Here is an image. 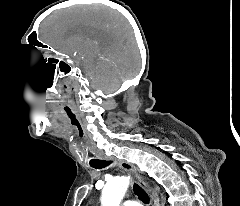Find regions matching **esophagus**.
I'll return each instance as SVG.
<instances>
[{"label":"esophagus","mask_w":240,"mask_h":206,"mask_svg":"<svg viewBox=\"0 0 240 206\" xmlns=\"http://www.w3.org/2000/svg\"><path fill=\"white\" fill-rule=\"evenodd\" d=\"M104 160L106 161H110V162H114L116 164H118L122 169H124L125 171L129 172L130 174L134 175L139 183V185L146 191V193L149 196V199L152 203V206H159V198L158 195L151 189V187L146 183V181L142 178V176L140 175L138 169L124 161V160H120L114 157H107L104 156L103 157Z\"/></svg>","instance_id":"esophagus-1"}]
</instances>
